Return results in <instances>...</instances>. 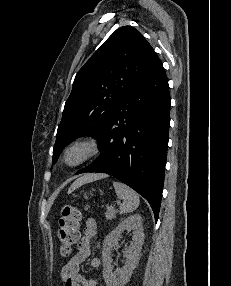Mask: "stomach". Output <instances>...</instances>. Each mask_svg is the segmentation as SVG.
Here are the masks:
<instances>
[{
	"label": "stomach",
	"mask_w": 231,
	"mask_h": 286,
	"mask_svg": "<svg viewBox=\"0 0 231 286\" xmlns=\"http://www.w3.org/2000/svg\"><path fill=\"white\" fill-rule=\"evenodd\" d=\"M84 198H85V199H88V195L84 194Z\"/></svg>",
	"instance_id": "1"
}]
</instances>
